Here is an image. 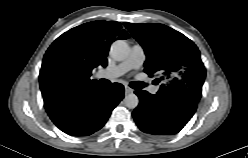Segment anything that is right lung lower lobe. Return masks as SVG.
<instances>
[{
	"mask_svg": "<svg viewBox=\"0 0 248 158\" xmlns=\"http://www.w3.org/2000/svg\"><path fill=\"white\" fill-rule=\"evenodd\" d=\"M124 97L119 83L105 88L92 86L44 104L53 123L72 136H87L98 131L108 120L112 110Z\"/></svg>",
	"mask_w": 248,
	"mask_h": 158,
	"instance_id": "right-lung-lower-lobe-1",
	"label": "right lung lower lobe"
}]
</instances>
